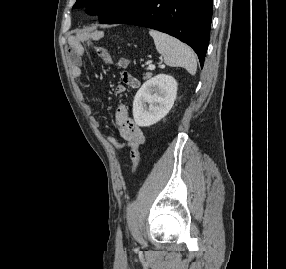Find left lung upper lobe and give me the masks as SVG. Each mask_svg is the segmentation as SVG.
<instances>
[{
  "label": "left lung upper lobe",
  "instance_id": "1",
  "mask_svg": "<svg viewBox=\"0 0 286 269\" xmlns=\"http://www.w3.org/2000/svg\"><path fill=\"white\" fill-rule=\"evenodd\" d=\"M145 0H77L73 9L87 5L86 12L98 14L100 23L114 24L143 5Z\"/></svg>",
  "mask_w": 286,
  "mask_h": 269
}]
</instances>
